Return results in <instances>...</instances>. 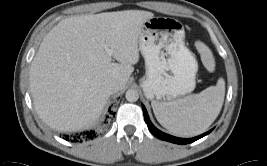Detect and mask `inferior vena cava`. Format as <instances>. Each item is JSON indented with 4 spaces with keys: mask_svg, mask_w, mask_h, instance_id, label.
Returning <instances> with one entry per match:
<instances>
[{
    "mask_svg": "<svg viewBox=\"0 0 267 166\" xmlns=\"http://www.w3.org/2000/svg\"><path fill=\"white\" fill-rule=\"evenodd\" d=\"M105 89L109 94H113V93H116L119 90V86L115 82H108L106 84Z\"/></svg>",
    "mask_w": 267,
    "mask_h": 166,
    "instance_id": "inferior-vena-cava-1",
    "label": "inferior vena cava"
}]
</instances>
